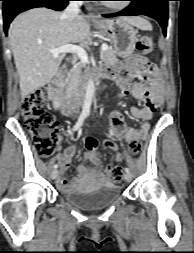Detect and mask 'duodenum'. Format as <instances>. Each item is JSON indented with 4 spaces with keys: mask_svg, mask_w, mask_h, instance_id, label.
Wrapping results in <instances>:
<instances>
[{
    "mask_svg": "<svg viewBox=\"0 0 194 253\" xmlns=\"http://www.w3.org/2000/svg\"><path fill=\"white\" fill-rule=\"evenodd\" d=\"M65 73H59L49 84V92L51 97L57 102L60 112L63 115L70 116L73 115L77 109L78 104L72 99L66 97L62 91V84L64 80ZM102 74L98 73L95 76V80H100Z\"/></svg>",
    "mask_w": 194,
    "mask_h": 253,
    "instance_id": "obj_1",
    "label": "duodenum"
}]
</instances>
